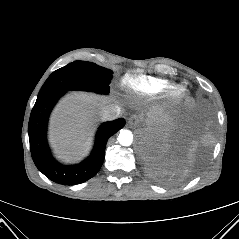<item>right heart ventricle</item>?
I'll list each match as a JSON object with an SVG mask.
<instances>
[{"mask_svg":"<svg viewBox=\"0 0 239 239\" xmlns=\"http://www.w3.org/2000/svg\"><path fill=\"white\" fill-rule=\"evenodd\" d=\"M122 86L132 94L146 96L166 92L171 83L147 75H126L122 79Z\"/></svg>","mask_w":239,"mask_h":239,"instance_id":"obj_1","label":"right heart ventricle"}]
</instances>
